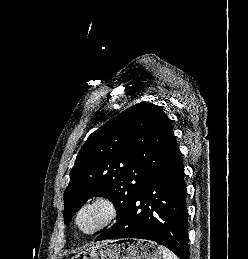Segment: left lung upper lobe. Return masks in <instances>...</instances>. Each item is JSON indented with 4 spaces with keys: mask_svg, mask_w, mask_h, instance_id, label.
Instances as JSON below:
<instances>
[{
    "mask_svg": "<svg viewBox=\"0 0 248 259\" xmlns=\"http://www.w3.org/2000/svg\"><path fill=\"white\" fill-rule=\"evenodd\" d=\"M178 149L160 106L141 102L112 118L77 155L64 194L65 224L94 195L112 201L120 219Z\"/></svg>",
    "mask_w": 248,
    "mask_h": 259,
    "instance_id": "obj_1",
    "label": "left lung upper lobe"
}]
</instances>
